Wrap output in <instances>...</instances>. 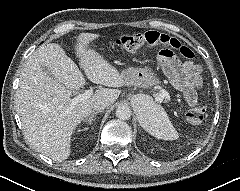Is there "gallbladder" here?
<instances>
[{
    "label": "gallbladder",
    "instance_id": "gallbladder-1",
    "mask_svg": "<svg viewBox=\"0 0 240 191\" xmlns=\"http://www.w3.org/2000/svg\"><path fill=\"white\" fill-rule=\"evenodd\" d=\"M44 70L47 71V72H49V70H48L46 67L44 68Z\"/></svg>",
    "mask_w": 240,
    "mask_h": 191
}]
</instances>
